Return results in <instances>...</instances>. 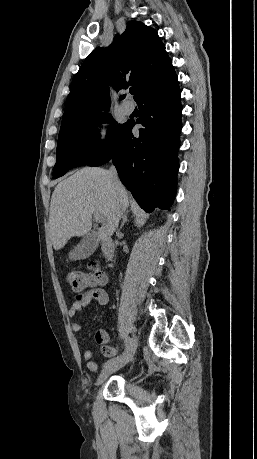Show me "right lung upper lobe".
<instances>
[{
  "label": "right lung upper lobe",
  "instance_id": "cb5924a9",
  "mask_svg": "<svg viewBox=\"0 0 257 459\" xmlns=\"http://www.w3.org/2000/svg\"><path fill=\"white\" fill-rule=\"evenodd\" d=\"M174 73L157 32L139 21H130L109 47L95 49L74 76L59 134L109 109L110 80L117 91L135 87L137 101Z\"/></svg>",
  "mask_w": 257,
  "mask_h": 459
}]
</instances>
